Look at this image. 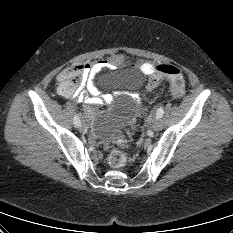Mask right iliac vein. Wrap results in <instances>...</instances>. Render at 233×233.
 Returning a JSON list of instances; mask_svg holds the SVG:
<instances>
[{"label": "right iliac vein", "instance_id": "right-iliac-vein-1", "mask_svg": "<svg viewBox=\"0 0 233 233\" xmlns=\"http://www.w3.org/2000/svg\"><path fill=\"white\" fill-rule=\"evenodd\" d=\"M77 128L79 129L81 133H85L87 131V128L82 123H79L77 125Z\"/></svg>", "mask_w": 233, "mask_h": 233}]
</instances>
